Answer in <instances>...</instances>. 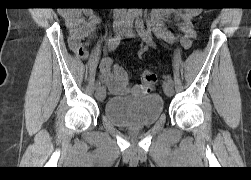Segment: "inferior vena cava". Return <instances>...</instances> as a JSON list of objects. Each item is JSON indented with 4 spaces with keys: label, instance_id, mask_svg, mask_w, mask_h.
Listing matches in <instances>:
<instances>
[{
    "label": "inferior vena cava",
    "instance_id": "inferior-vena-cava-1",
    "mask_svg": "<svg viewBox=\"0 0 251 180\" xmlns=\"http://www.w3.org/2000/svg\"><path fill=\"white\" fill-rule=\"evenodd\" d=\"M125 14H126V11L124 9H121V8H115L114 9V17L115 18H119L120 16L124 17Z\"/></svg>",
    "mask_w": 251,
    "mask_h": 180
}]
</instances>
